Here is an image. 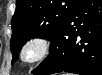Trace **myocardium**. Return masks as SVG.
<instances>
[{"label": "myocardium", "instance_id": "f54148a6", "mask_svg": "<svg viewBox=\"0 0 102 75\" xmlns=\"http://www.w3.org/2000/svg\"><path fill=\"white\" fill-rule=\"evenodd\" d=\"M50 50V43L43 37L29 39L22 48L21 57L27 62L42 60Z\"/></svg>", "mask_w": 102, "mask_h": 75}]
</instances>
